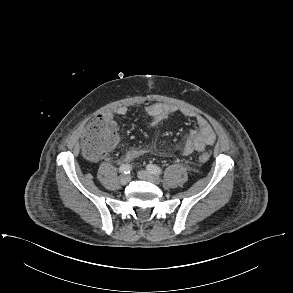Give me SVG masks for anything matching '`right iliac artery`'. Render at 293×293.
Instances as JSON below:
<instances>
[{
    "mask_svg": "<svg viewBox=\"0 0 293 293\" xmlns=\"http://www.w3.org/2000/svg\"><path fill=\"white\" fill-rule=\"evenodd\" d=\"M132 170L131 166L129 164H122L120 167H119V171L121 173H125V174H128L130 173V171Z\"/></svg>",
    "mask_w": 293,
    "mask_h": 293,
    "instance_id": "82829eb1",
    "label": "right iliac artery"
}]
</instances>
